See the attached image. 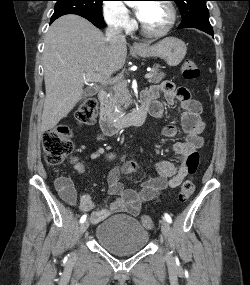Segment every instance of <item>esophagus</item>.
<instances>
[{"mask_svg":"<svg viewBox=\"0 0 250 285\" xmlns=\"http://www.w3.org/2000/svg\"><path fill=\"white\" fill-rule=\"evenodd\" d=\"M133 48H134V49H141V48H142V45L139 44V43H134V44H133Z\"/></svg>","mask_w":250,"mask_h":285,"instance_id":"34e87169","label":"esophagus"}]
</instances>
